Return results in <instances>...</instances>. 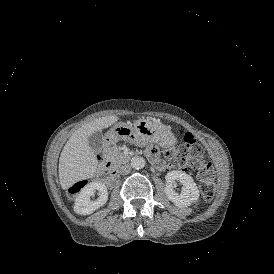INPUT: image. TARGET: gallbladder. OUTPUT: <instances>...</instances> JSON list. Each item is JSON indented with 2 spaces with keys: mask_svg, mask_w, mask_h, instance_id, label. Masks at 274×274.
<instances>
[{
  "mask_svg": "<svg viewBox=\"0 0 274 274\" xmlns=\"http://www.w3.org/2000/svg\"><path fill=\"white\" fill-rule=\"evenodd\" d=\"M104 141L103 132L98 130L92 133L88 138V144L93 151L97 152L101 149Z\"/></svg>",
  "mask_w": 274,
  "mask_h": 274,
  "instance_id": "obj_1",
  "label": "gallbladder"
}]
</instances>
